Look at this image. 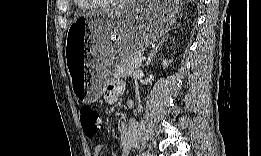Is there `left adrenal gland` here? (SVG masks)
Listing matches in <instances>:
<instances>
[{
    "mask_svg": "<svg viewBox=\"0 0 261 156\" xmlns=\"http://www.w3.org/2000/svg\"><path fill=\"white\" fill-rule=\"evenodd\" d=\"M163 41H161L155 49H153V51L150 53L148 59H147V62H146V65L148 66L151 62H152V59L154 57V55L156 54V52L158 51L159 49V46L162 44Z\"/></svg>",
    "mask_w": 261,
    "mask_h": 156,
    "instance_id": "1",
    "label": "left adrenal gland"
}]
</instances>
